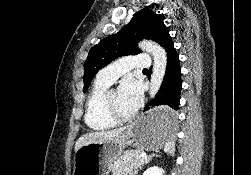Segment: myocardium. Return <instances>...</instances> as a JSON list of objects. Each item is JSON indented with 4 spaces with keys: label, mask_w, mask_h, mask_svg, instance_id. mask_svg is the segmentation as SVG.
<instances>
[{
    "label": "myocardium",
    "mask_w": 251,
    "mask_h": 175,
    "mask_svg": "<svg viewBox=\"0 0 251 175\" xmlns=\"http://www.w3.org/2000/svg\"><path fill=\"white\" fill-rule=\"evenodd\" d=\"M114 89L113 88H108L105 93H104V96H103V99H102V107H103V110L105 112V114L112 118L113 120L115 121H120V120H127L129 119V115H122V114H118V113H115L112 109H111V106H110V103H109V96H110V93L113 91Z\"/></svg>",
    "instance_id": "1"
}]
</instances>
